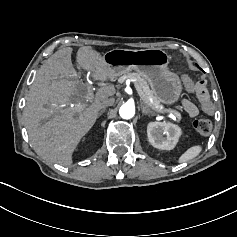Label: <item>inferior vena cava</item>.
<instances>
[{"mask_svg":"<svg viewBox=\"0 0 237 237\" xmlns=\"http://www.w3.org/2000/svg\"><path fill=\"white\" fill-rule=\"evenodd\" d=\"M115 102L114 98H106L102 101L101 105L102 108L108 107V106H112Z\"/></svg>","mask_w":237,"mask_h":237,"instance_id":"602c4592","label":"inferior vena cava"}]
</instances>
